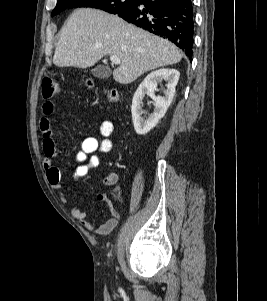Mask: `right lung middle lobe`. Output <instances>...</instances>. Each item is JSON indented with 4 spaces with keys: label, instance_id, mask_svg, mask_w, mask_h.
<instances>
[{
    "label": "right lung middle lobe",
    "instance_id": "dd1d6c3e",
    "mask_svg": "<svg viewBox=\"0 0 267 301\" xmlns=\"http://www.w3.org/2000/svg\"><path fill=\"white\" fill-rule=\"evenodd\" d=\"M138 0H58L51 16H55L66 8L89 7L118 14L131 9Z\"/></svg>",
    "mask_w": 267,
    "mask_h": 301
}]
</instances>
